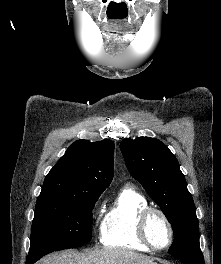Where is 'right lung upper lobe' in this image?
Returning a JSON list of instances; mask_svg holds the SVG:
<instances>
[{
  "mask_svg": "<svg viewBox=\"0 0 221 264\" xmlns=\"http://www.w3.org/2000/svg\"><path fill=\"white\" fill-rule=\"evenodd\" d=\"M114 144L106 139L74 142L46 176L40 195L81 196L102 193L113 178Z\"/></svg>",
  "mask_w": 221,
  "mask_h": 264,
  "instance_id": "right-lung-upper-lobe-1",
  "label": "right lung upper lobe"
}]
</instances>
